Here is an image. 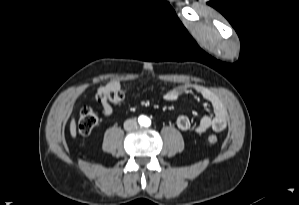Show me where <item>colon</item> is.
I'll use <instances>...</instances> for the list:
<instances>
[{
	"label": "colon",
	"mask_w": 299,
	"mask_h": 205,
	"mask_svg": "<svg viewBox=\"0 0 299 205\" xmlns=\"http://www.w3.org/2000/svg\"><path fill=\"white\" fill-rule=\"evenodd\" d=\"M123 98L124 91L122 89H117L105 95H98L96 97L98 102H106L109 104H118L123 100ZM97 122L98 118L95 112L89 107H83L80 111L77 126L79 134L83 136L89 135L95 128ZM208 141L211 144H216L218 141L217 136L214 134L209 135Z\"/></svg>",
	"instance_id": "obj_1"
}]
</instances>
